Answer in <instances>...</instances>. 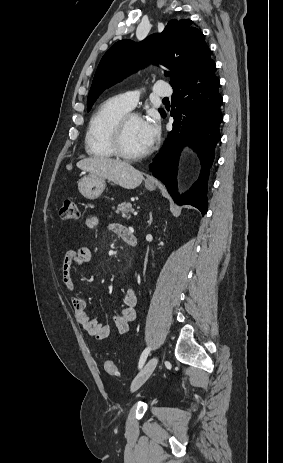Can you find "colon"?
<instances>
[{
  "label": "colon",
  "mask_w": 283,
  "mask_h": 463,
  "mask_svg": "<svg viewBox=\"0 0 283 463\" xmlns=\"http://www.w3.org/2000/svg\"><path fill=\"white\" fill-rule=\"evenodd\" d=\"M60 217L62 220H78L80 218V210L74 200H65L60 209ZM104 370L110 375H117L118 369L113 360L106 359L104 361Z\"/></svg>",
  "instance_id": "5ec220e1"
}]
</instances>
